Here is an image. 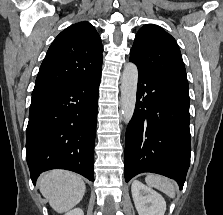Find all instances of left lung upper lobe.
Segmentation results:
<instances>
[{
	"mask_svg": "<svg viewBox=\"0 0 223 215\" xmlns=\"http://www.w3.org/2000/svg\"><path fill=\"white\" fill-rule=\"evenodd\" d=\"M130 61L139 74L188 92L186 70L175 39L159 26L144 25L136 34Z\"/></svg>",
	"mask_w": 223,
	"mask_h": 215,
	"instance_id": "5c2ea615",
	"label": "left lung upper lobe"
}]
</instances>
